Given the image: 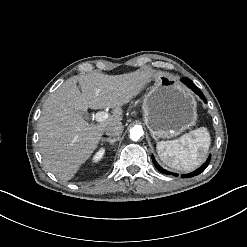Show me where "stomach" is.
Here are the masks:
<instances>
[{
    "instance_id": "0dacf381",
    "label": "stomach",
    "mask_w": 247,
    "mask_h": 247,
    "mask_svg": "<svg viewBox=\"0 0 247 247\" xmlns=\"http://www.w3.org/2000/svg\"><path fill=\"white\" fill-rule=\"evenodd\" d=\"M149 83L142 109L153 136L174 138L195 125L196 97L178 76L156 73Z\"/></svg>"
}]
</instances>
